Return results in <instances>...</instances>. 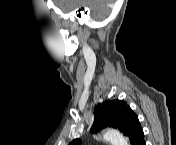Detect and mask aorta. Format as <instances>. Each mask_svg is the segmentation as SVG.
Wrapping results in <instances>:
<instances>
[{
    "label": "aorta",
    "mask_w": 176,
    "mask_h": 145,
    "mask_svg": "<svg viewBox=\"0 0 176 145\" xmlns=\"http://www.w3.org/2000/svg\"><path fill=\"white\" fill-rule=\"evenodd\" d=\"M102 138L105 141L110 142L112 145H128V141L125 137L119 131L114 129L106 130L103 133Z\"/></svg>",
    "instance_id": "1"
}]
</instances>
